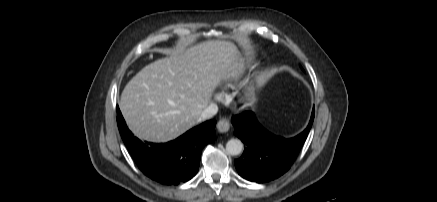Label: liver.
<instances>
[{
    "label": "liver",
    "instance_id": "1",
    "mask_svg": "<svg viewBox=\"0 0 437 202\" xmlns=\"http://www.w3.org/2000/svg\"><path fill=\"white\" fill-rule=\"evenodd\" d=\"M243 68L237 46L209 40L181 48L140 70L125 86L119 103L133 134L151 142H168L199 123L223 81Z\"/></svg>",
    "mask_w": 437,
    "mask_h": 202
}]
</instances>
